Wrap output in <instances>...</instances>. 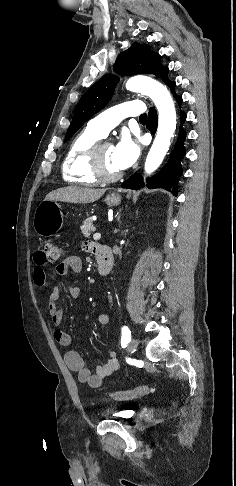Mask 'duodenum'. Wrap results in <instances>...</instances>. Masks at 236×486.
<instances>
[{
	"mask_svg": "<svg viewBox=\"0 0 236 486\" xmlns=\"http://www.w3.org/2000/svg\"><path fill=\"white\" fill-rule=\"evenodd\" d=\"M95 255L97 258L98 271L102 276L110 273L113 267V254L111 248L107 245H95Z\"/></svg>",
	"mask_w": 236,
	"mask_h": 486,
	"instance_id": "duodenum-1",
	"label": "duodenum"
}]
</instances>
